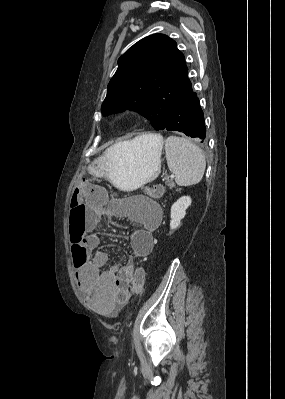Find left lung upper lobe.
Returning <instances> with one entry per match:
<instances>
[{
    "label": "left lung upper lobe",
    "mask_w": 285,
    "mask_h": 399,
    "mask_svg": "<svg viewBox=\"0 0 285 399\" xmlns=\"http://www.w3.org/2000/svg\"><path fill=\"white\" fill-rule=\"evenodd\" d=\"M118 64L102 114L135 110L155 130H162L176 97L189 83L185 58L176 42L164 34L150 35L128 49Z\"/></svg>",
    "instance_id": "obj_1"
}]
</instances>
